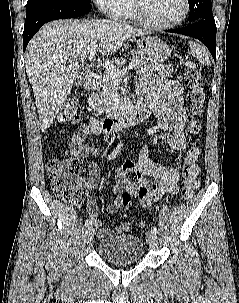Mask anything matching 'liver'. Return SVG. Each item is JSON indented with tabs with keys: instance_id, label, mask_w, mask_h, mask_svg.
Returning <instances> with one entry per match:
<instances>
[{
	"instance_id": "obj_1",
	"label": "liver",
	"mask_w": 239,
	"mask_h": 303,
	"mask_svg": "<svg viewBox=\"0 0 239 303\" xmlns=\"http://www.w3.org/2000/svg\"><path fill=\"white\" fill-rule=\"evenodd\" d=\"M146 32L112 20H58L45 24L25 52L26 73L45 132L71 92L79 74L78 59L93 45L111 55L131 37Z\"/></svg>"
}]
</instances>
